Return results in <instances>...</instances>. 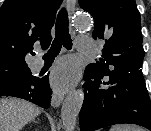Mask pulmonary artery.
Segmentation results:
<instances>
[{
	"instance_id": "pulmonary-artery-1",
	"label": "pulmonary artery",
	"mask_w": 151,
	"mask_h": 131,
	"mask_svg": "<svg viewBox=\"0 0 151 131\" xmlns=\"http://www.w3.org/2000/svg\"><path fill=\"white\" fill-rule=\"evenodd\" d=\"M78 48L83 51H90L94 46V40L88 36H80L77 41ZM44 64L42 57H38L35 62L34 67L40 69Z\"/></svg>"
}]
</instances>
